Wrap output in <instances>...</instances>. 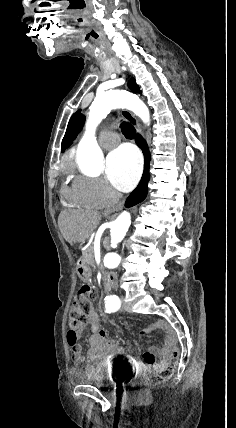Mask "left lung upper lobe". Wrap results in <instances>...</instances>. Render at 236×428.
I'll return each instance as SVG.
<instances>
[{
  "label": "left lung upper lobe",
  "instance_id": "5c2ea615",
  "mask_svg": "<svg viewBox=\"0 0 236 428\" xmlns=\"http://www.w3.org/2000/svg\"><path fill=\"white\" fill-rule=\"evenodd\" d=\"M128 86L132 91L139 92V93L141 92L139 90V87L136 84L134 78H132L129 81ZM84 120L85 119H84L83 115L81 114V110H78L76 113H74L71 116L69 123H68V126H67L65 136L62 140V145H61V151L62 152H64V150L72 144L73 140L76 138V136L80 132V130L83 126Z\"/></svg>",
  "mask_w": 236,
  "mask_h": 428
}]
</instances>
